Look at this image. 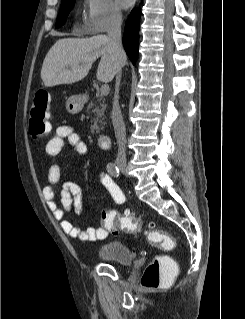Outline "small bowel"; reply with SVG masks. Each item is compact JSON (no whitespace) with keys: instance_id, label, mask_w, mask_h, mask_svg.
I'll return each instance as SVG.
<instances>
[{"instance_id":"obj_1","label":"small bowel","mask_w":245,"mask_h":319,"mask_svg":"<svg viewBox=\"0 0 245 319\" xmlns=\"http://www.w3.org/2000/svg\"><path fill=\"white\" fill-rule=\"evenodd\" d=\"M66 142L72 145L80 155L87 153V146L76 133L75 129L72 126L64 125L58 127L47 142L45 148L46 154L49 157L57 156ZM60 175V166L57 163L51 164L47 173V185L43 188V196L54 218L59 221L63 232L72 238H79L85 242L104 240L108 236V230L105 227H89L85 230H80L73 222L65 219L67 212L74 211L77 215L82 213L83 191L79 184L72 181L64 182L59 188ZM99 180L114 201L117 204H122L123 202L118 203L115 200L119 196L115 195L117 189L113 180L104 173L99 175ZM57 194L60 196V204L55 199Z\"/></svg>"}]
</instances>
